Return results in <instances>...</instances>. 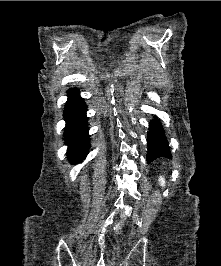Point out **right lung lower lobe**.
Here are the masks:
<instances>
[{
  "instance_id": "obj_1",
  "label": "right lung lower lobe",
  "mask_w": 221,
  "mask_h": 266,
  "mask_svg": "<svg viewBox=\"0 0 221 266\" xmlns=\"http://www.w3.org/2000/svg\"><path fill=\"white\" fill-rule=\"evenodd\" d=\"M87 106L79 94V89L68 90L63 116L66 120L65 143L68 145V159L72 164L82 162L90 147L86 117Z\"/></svg>"
}]
</instances>
